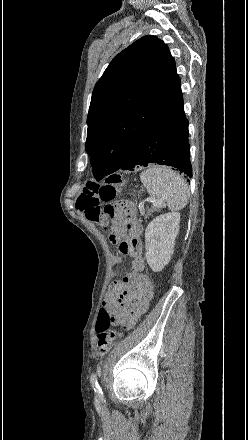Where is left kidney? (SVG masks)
<instances>
[{
  "label": "left kidney",
  "instance_id": "1",
  "mask_svg": "<svg viewBox=\"0 0 248 440\" xmlns=\"http://www.w3.org/2000/svg\"><path fill=\"white\" fill-rule=\"evenodd\" d=\"M180 213L155 217L145 230L146 260L152 271L160 272L171 260L179 232Z\"/></svg>",
  "mask_w": 248,
  "mask_h": 440
}]
</instances>
